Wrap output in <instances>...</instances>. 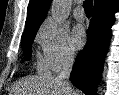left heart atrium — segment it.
<instances>
[{
    "label": "left heart atrium",
    "mask_w": 119,
    "mask_h": 95,
    "mask_svg": "<svg viewBox=\"0 0 119 95\" xmlns=\"http://www.w3.org/2000/svg\"><path fill=\"white\" fill-rule=\"evenodd\" d=\"M71 42L76 49H80L86 42V32L80 25H76L72 30Z\"/></svg>",
    "instance_id": "obj_1"
}]
</instances>
